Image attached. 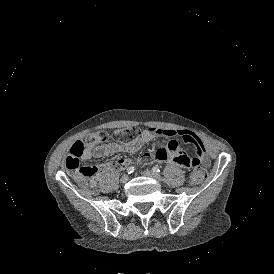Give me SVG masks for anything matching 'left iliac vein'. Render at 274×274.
I'll list each match as a JSON object with an SVG mask.
<instances>
[{
  "mask_svg": "<svg viewBox=\"0 0 274 274\" xmlns=\"http://www.w3.org/2000/svg\"><path fill=\"white\" fill-rule=\"evenodd\" d=\"M143 176H146V177H150V178H153L157 181H162V177L155 173V172H152L150 170H145L143 173H142Z\"/></svg>",
  "mask_w": 274,
  "mask_h": 274,
  "instance_id": "left-iliac-vein-1",
  "label": "left iliac vein"
}]
</instances>
